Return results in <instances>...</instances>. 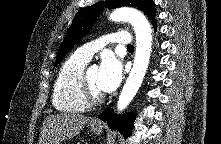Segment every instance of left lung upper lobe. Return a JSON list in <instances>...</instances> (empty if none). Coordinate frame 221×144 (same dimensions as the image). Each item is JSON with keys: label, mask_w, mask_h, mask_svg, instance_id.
Wrapping results in <instances>:
<instances>
[{"label": "left lung upper lobe", "mask_w": 221, "mask_h": 144, "mask_svg": "<svg viewBox=\"0 0 221 144\" xmlns=\"http://www.w3.org/2000/svg\"><path fill=\"white\" fill-rule=\"evenodd\" d=\"M105 5L108 8H117L120 6L137 7L147 14L151 20H154L156 15L154 2L152 0H105ZM103 6V2H98L92 6L81 9L76 14L58 50L55 65L87 34L95 22L96 17L102 11Z\"/></svg>", "instance_id": "1"}]
</instances>
